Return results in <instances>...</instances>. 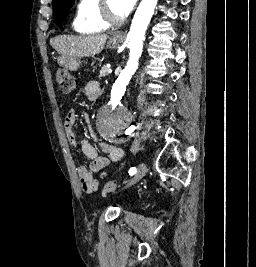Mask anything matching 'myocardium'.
<instances>
[{"label":"myocardium","mask_w":256,"mask_h":267,"mask_svg":"<svg viewBox=\"0 0 256 267\" xmlns=\"http://www.w3.org/2000/svg\"><path fill=\"white\" fill-rule=\"evenodd\" d=\"M113 0H102V7L100 11V23L103 26L104 30H109L114 27L110 24V3Z\"/></svg>","instance_id":"f54148a6"}]
</instances>
